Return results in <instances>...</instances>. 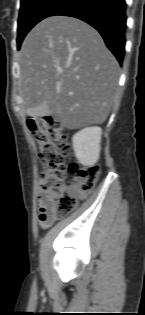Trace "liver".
<instances>
[{"label":"liver","mask_w":145,"mask_h":315,"mask_svg":"<svg viewBox=\"0 0 145 315\" xmlns=\"http://www.w3.org/2000/svg\"><path fill=\"white\" fill-rule=\"evenodd\" d=\"M19 91L28 115H52L68 129L103 123L114 101L119 64L87 23L52 16L26 36Z\"/></svg>","instance_id":"obj_1"}]
</instances>
